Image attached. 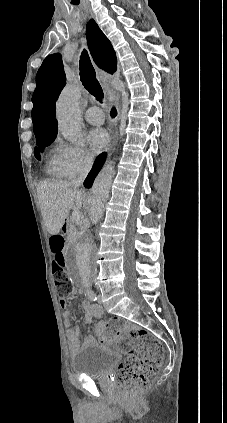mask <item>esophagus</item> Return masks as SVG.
<instances>
[{
  "instance_id": "esophagus-1",
  "label": "esophagus",
  "mask_w": 227,
  "mask_h": 423,
  "mask_svg": "<svg viewBox=\"0 0 227 423\" xmlns=\"http://www.w3.org/2000/svg\"><path fill=\"white\" fill-rule=\"evenodd\" d=\"M101 77H102L103 82L107 84L108 80L110 79V75H108L107 73L101 72ZM108 95H109V106H108L109 119H111L113 117H116V119H117L119 117V114H120L119 97L110 88H108ZM110 125H115V120H110Z\"/></svg>"
}]
</instances>
